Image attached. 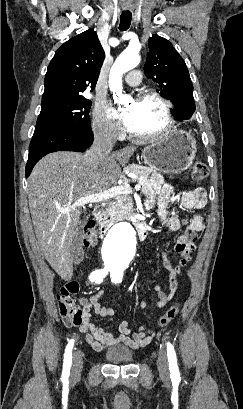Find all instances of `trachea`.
<instances>
[{
	"instance_id": "trachea-1",
	"label": "trachea",
	"mask_w": 243,
	"mask_h": 409,
	"mask_svg": "<svg viewBox=\"0 0 243 409\" xmlns=\"http://www.w3.org/2000/svg\"><path fill=\"white\" fill-rule=\"evenodd\" d=\"M131 20H132V13L129 11H123L120 16L119 29L121 31H126L130 27Z\"/></svg>"
}]
</instances>
